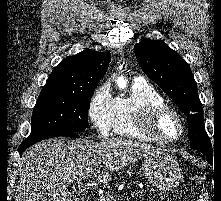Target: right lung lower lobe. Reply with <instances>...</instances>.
Returning <instances> with one entry per match:
<instances>
[{"instance_id":"obj_1","label":"right lung lower lobe","mask_w":221,"mask_h":201,"mask_svg":"<svg viewBox=\"0 0 221 201\" xmlns=\"http://www.w3.org/2000/svg\"><path fill=\"white\" fill-rule=\"evenodd\" d=\"M59 136H64V137H70V138H79L78 133L76 132H70V131H47L43 133H39L34 136H29L25 141L22 142V144L19 147V154L20 156L22 155V152L28 148L29 146L47 139V138H52V137H59Z\"/></svg>"}]
</instances>
